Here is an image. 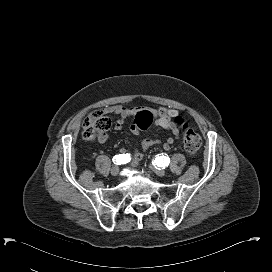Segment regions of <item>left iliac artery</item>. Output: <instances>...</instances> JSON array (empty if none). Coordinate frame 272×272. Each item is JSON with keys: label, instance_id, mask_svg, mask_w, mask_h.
<instances>
[{"label": "left iliac artery", "instance_id": "left-iliac-artery-1", "mask_svg": "<svg viewBox=\"0 0 272 272\" xmlns=\"http://www.w3.org/2000/svg\"><path fill=\"white\" fill-rule=\"evenodd\" d=\"M169 163H170L169 157L168 156H164V155L156 157V159L153 161V165L155 167H163V169L166 166H168Z\"/></svg>", "mask_w": 272, "mask_h": 272}]
</instances>
